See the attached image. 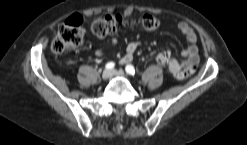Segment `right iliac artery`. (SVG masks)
I'll use <instances>...</instances> for the list:
<instances>
[{
	"label": "right iliac artery",
	"instance_id": "obj_1",
	"mask_svg": "<svg viewBox=\"0 0 247 145\" xmlns=\"http://www.w3.org/2000/svg\"><path fill=\"white\" fill-rule=\"evenodd\" d=\"M114 66H115V63L114 62H109V63L106 64L105 67H106V69H113Z\"/></svg>",
	"mask_w": 247,
	"mask_h": 145
}]
</instances>
